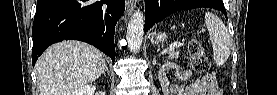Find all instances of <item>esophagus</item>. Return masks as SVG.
Instances as JSON below:
<instances>
[{
    "instance_id": "34e87169",
    "label": "esophagus",
    "mask_w": 277,
    "mask_h": 95,
    "mask_svg": "<svg viewBox=\"0 0 277 95\" xmlns=\"http://www.w3.org/2000/svg\"><path fill=\"white\" fill-rule=\"evenodd\" d=\"M137 0H126V9L129 11H133L137 5Z\"/></svg>"
}]
</instances>
